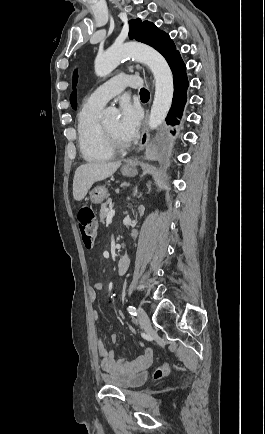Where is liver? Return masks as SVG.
Here are the masks:
<instances>
[{
	"label": "liver",
	"instance_id": "liver-1",
	"mask_svg": "<svg viewBox=\"0 0 265 434\" xmlns=\"http://www.w3.org/2000/svg\"><path fill=\"white\" fill-rule=\"evenodd\" d=\"M121 162H109V164H83L75 172L73 180V198L80 202L84 200L91 186L100 180H106L116 172Z\"/></svg>",
	"mask_w": 265,
	"mask_h": 434
}]
</instances>
